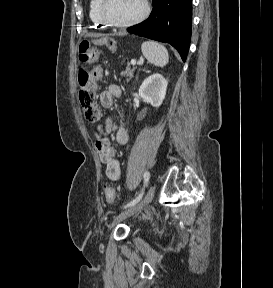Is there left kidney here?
<instances>
[{
    "label": "left kidney",
    "instance_id": "obj_1",
    "mask_svg": "<svg viewBox=\"0 0 273 288\" xmlns=\"http://www.w3.org/2000/svg\"><path fill=\"white\" fill-rule=\"evenodd\" d=\"M167 85V80L161 74L155 73L143 81L139 88V95L153 107L158 108L165 98Z\"/></svg>",
    "mask_w": 273,
    "mask_h": 288
}]
</instances>
